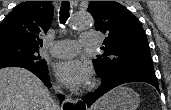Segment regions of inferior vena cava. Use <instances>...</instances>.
Masks as SVG:
<instances>
[{
	"label": "inferior vena cava",
	"instance_id": "602c4592",
	"mask_svg": "<svg viewBox=\"0 0 171 110\" xmlns=\"http://www.w3.org/2000/svg\"><path fill=\"white\" fill-rule=\"evenodd\" d=\"M55 90L57 91V92H59V93H61V88H60V86H55ZM57 109H59V106L57 105Z\"/></svg>",
	"mask_w": 171,
	"mask_h": 110
}]
</instances>
